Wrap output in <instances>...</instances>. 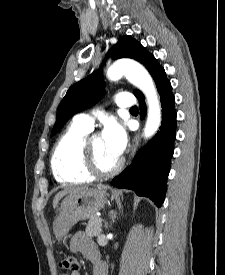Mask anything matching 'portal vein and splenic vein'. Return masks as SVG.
Returning <instances> with one entry per match:
<instances>
[{
    "label": "portal vein and splenic vein",
    "instance_id": "1",
    "mask_svg": "<svg viewBox=\"0 0 225 275\" xmlns=\"http://www.w3.org/2000/svg\"><path fill=\"white\" fill-rule=\"evenodd\" d=\"M99 221H100V222H102V219H101V218H99Z\"/></svg>",
    "mask_w": 225,
    "mask_h": 275
}]
</instances>
